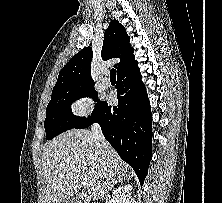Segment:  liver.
I'll return each mask as SVG.
<instances>
[{
    "label": "liver",
    "instance_id": "obj_1",
    "mask_svg": "<svg viewBox=\"0 0 222 203\" xmlns=\"http://www.w3.org/2000/svg\"><path fill=\"white\" fill-rule=\"evenodd\" d=\"M45 203H60L76 195L86 179L87 192L100 199L128 176L126 163L109 145L106 157L97 147L93 134L72 129L48 142L43 150Z\"/></svg>",
    "mask_w": 222,
    "mask_h": 203
}]
</instances>
